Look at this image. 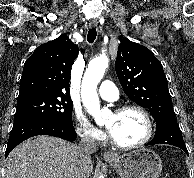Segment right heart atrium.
Masks as SVG:
<instances>
[{
	"mask_svg": "<svg viewBox=\"0 0 194 178\" xmlns=\"http://www.w3.org/2000/svg\"><path fill=\"white\" fill-rule=\"evenodd\" d=\"M75 129L78 136L86 142L99 143L105 139V134L94 127L81 113L75 115Z\"/></svg>",
	"mask_w": 194,
	"mask_h": 178,
	"instance_id": "d8ad5b80",
	"label": "right heart atrium"
}]
</instances>
